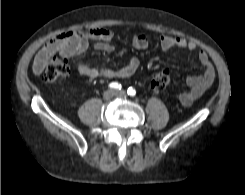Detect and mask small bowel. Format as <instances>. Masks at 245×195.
I'll return each mask as SVG.
<instances>
[{"instance_id":"c3829d8e","label":"small bowel","mask_w":245,"mask_h":195,"mask_svg":"<svg viewBox=\"0 0 245 195\" xmlns=\"http://www.w3.org/2000/svg\"><path fill=\"white\" fill-rule=\"evenodd\" d=\"M113 36L114 33L111 30L99 27L89 28L84 31L61 33L49 40L36 55L33 71L36 74H40L49 57L55 53H59L66 58L79 57L87 50L91 41L94 42L97 50L111 52L114 50V46L111 44ZM132 45L136 49H145L148 47V38L143 34L136 35L132 39ZM160 45L163 50L183 48L193 52L197 48L194 42L175 35L161 36ZM198 58L203 74L187 77L186 83L189 88L179 96V101L183 106H189L199 98L212 85L215 78V69L206 51L201 49L198 53ZM139 66V59L131 56L128 63L117 70L101 66L91 67L83 62L78 63L77 69L81 75L89 78H126L132 76Z\"/></svg>"}]
</instances>
